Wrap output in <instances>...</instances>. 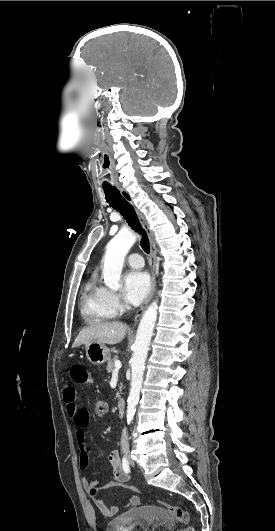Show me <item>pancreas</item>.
<instances>
[{
  "instance_id": "cf45deb5",
  "label": "pancreas",
  "mask_w": 275,
  "mask_h": 531,
  "mask_svg": "<svg viewBox=\"0 0 275 531\" xmlns=\"http://www.w3.org/2000/svg\"><path fill=\"white\" fill-rule=\"evenodd\" d=\"M119 357H117V355H115V357H113V359H109L108 361V365H107V371L108 373H112V371H114V363L115 361H118ZM120 391H122V387H119Z\"/></svg>"
}]
</instances>
